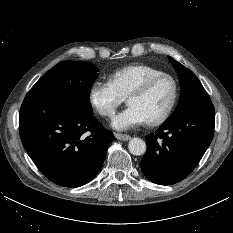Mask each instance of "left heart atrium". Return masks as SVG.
I'll use <instances>...</instances> for the list:
<instances>
[{"mask_svg":"<svg viewBox=\"0 0 233 233\" xmlns=\"http://www.w3.org/2000/svg\"><path fill=\"white\" fill-rule=\"evenodd\" d=\"M146 122L147 120L141 111L137 107L129 105L125 110L114 117L112 126L118 130H126Z\"/></svg>","mask_w":233,"mask_h":233,"instance_id":"obj_1","label":"left heart atrium"}]
</instances>
